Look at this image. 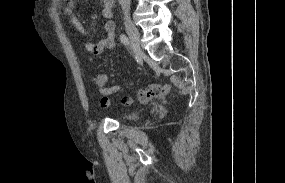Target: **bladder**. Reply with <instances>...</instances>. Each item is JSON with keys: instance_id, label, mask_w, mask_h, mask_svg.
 I'll return each mask as SVG.
<instances>
[{"instance_id": "1", "label": "bladder", "mask_w": 285, "mask_h": 183, "mask_svg": "<svg viewBox=\"0 0 285 183\" xmlns=\"http://www.w3.org/2000/svg\"><path fill=\"white\" fill-rule=\"evenodd\" d=\"M122 116L126 119H135L137 118L139 115L135 112H123Z\"/></svg>"}]
</instances>
